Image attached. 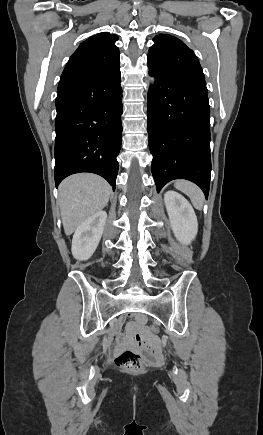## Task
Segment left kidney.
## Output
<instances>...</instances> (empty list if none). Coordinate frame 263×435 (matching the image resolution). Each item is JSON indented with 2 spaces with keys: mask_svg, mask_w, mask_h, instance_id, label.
I'll use <instances>...</instances> for the list:
<instances>
[{
  "mask_svg": "<svg viewBox=\"0 0 263 435\" xmlns=\"http://www.w3.org/2000/svg\"><path fill=\"white\" fill-rule=\"evenodd\" d=\"M164 201L173 233L182 244H190L198 232V222L191 204L179 193L169 190Z\"/></svg>",
  "mask_w": 263,
  "mask_h": 435,
  "instance_id": "5707ae66",
  "label": "left kidney"
}]
</instances>
